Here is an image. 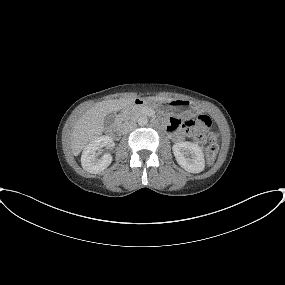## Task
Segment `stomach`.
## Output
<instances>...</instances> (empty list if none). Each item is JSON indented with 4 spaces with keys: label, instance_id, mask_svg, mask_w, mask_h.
Returning <instances> with one entry per match:
<instances>
[{
    "label": "stomach",
    "instance_id": "1",
    "mask_svg": "<svg viewBox=\"0 0 285 285\" xmlns=\"http://www.w3.org/2000/svg\"><path fill=\"white\" fill-rule=\"evenodd\" d=\"M145 104L154 108L161 114L185 112L193 113L195 111L194 104L191 101L184 99H171L169 101L147 99Z\"/></svg>",
    "mask_w": 285,
    "mask_h": 285
}]
</instances>
